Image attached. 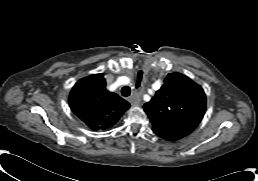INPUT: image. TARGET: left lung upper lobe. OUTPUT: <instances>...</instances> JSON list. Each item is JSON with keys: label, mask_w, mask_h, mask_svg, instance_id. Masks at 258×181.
Returning <instances> with one entry per match:
<instances>
[{"label": "left lung upper lobe", "mask_w": 258, "mask_h": 181, "mask_svg": "<svg viewBox=\"0 0 258 181\" xmlns=\"http://www.w3.org/2000/svg\"><path fill=\"white\" fill-rule=\"evenodd\" d=\"M205 109L202 87L180 73L168 74L156 95L144 105L153 131L172 140L190 134L202 120Z\"/></svg>", "instance_id": "left-lung-upper-lobe-1"}]
</instances>
